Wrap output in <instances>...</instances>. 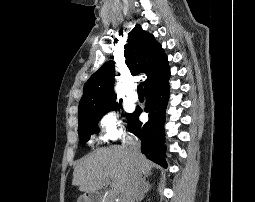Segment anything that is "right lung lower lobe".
Masks as SVG:
<instances>
[{"instance_id": "1", "label": "right lung lower lobe", "mask_w": 255, "mask_h": 202, "mask_svg": "<svg viewBox=\"0 0 255 202\" xmlns=\"http://www.w3.org/2000/svg\"><path fill=\"white\" fill-rule=\"evenodd\" d=\"M144 92L146 97L145 112L148 113L149 121L146 123L140 122L139 115L142 110L136 109L131 114L129 131L141 139V151L148 159L167 167L164 146V122L169 98L168 80Z\"/></svg>"}]
</instances>
